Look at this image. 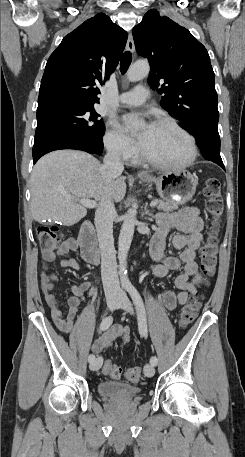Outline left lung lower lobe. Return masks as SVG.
<instances>
[{"label": "left lung lower lobe", "instance_id": "obj_1", "mask_svg": "<svg viewBox=\"0 0 245 457\" xmlns=\"http://www.w3.org/2000/svg\"><path fill=\"white\" fill-rule=\"evenodd\" d=\"M217 124L218 121L215 122L212 119H205L199 123V127H190L185 130L196 138L202 156L206 160L218 164L225 170L220 157V137Z\"/></svg>", "mask_w": 245, "mask_h": 457}]
</instances>
